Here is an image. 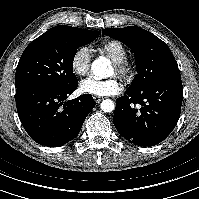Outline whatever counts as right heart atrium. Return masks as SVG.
I'll list each match as a JSON object with an SVG mask.
<instances>
[{"instance_id":"obj_1","label":"right heart atrium","mask_w":199,"mask_h":199,"mask_svg":"<svg viewBox=\"0 0 199 199\" xmlns=\"http://www.w3.org/2000/svg\"><path fill=\"white\" fill-rule=\"evenodd\" d=\"M91 52L87 47L78 48L70 60L72 72L78 76H85L90 68Z\"/></svg>"}]
</instances>
